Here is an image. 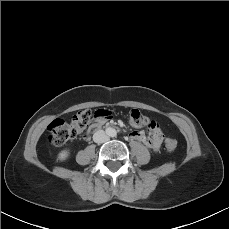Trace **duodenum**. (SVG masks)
<instances>
[{"mask_svg":"<svg viewBox=\"0 0 229 229\" xmlns=\"http://www.w3.org/2000/svg\"><path fill=\"white\" fill-rule=\"evenodd\" d=\"M104 125V122L103 121H98V122H95L93 125H92V128H100Z\"/></svg>","mask_w":229,"mask_h":229,"instance_id":"duodenum-1","label":"duodenum"}]
</instances>
